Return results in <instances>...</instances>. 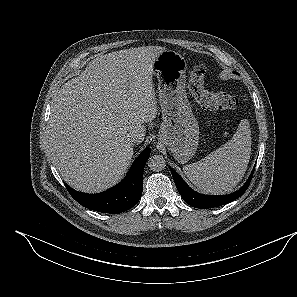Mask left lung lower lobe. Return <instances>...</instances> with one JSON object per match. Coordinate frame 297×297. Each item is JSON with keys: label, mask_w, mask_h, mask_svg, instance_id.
Listing matches in <instances>:
<instances>
[{"label": "left lung lower lobe", "mask_w": 297, "mask_h": 297, "mask_svg": "<svg viewBox=\"0 0 297 297\" xmlns=\"http://www.w3.org/2000/svg\"><path fill=\"white\" fill-rule=\"evenodd\" d=\"M254 169L252 170L246 183L238 191L228 195L220 196L199 194L192 190L173 169H171V172L176 187L184 201L192 207L206 209L230 203L244 194V192L249 187V184L253 177Z\"/></svg>", "instance_id": "obj_1"}]
</instances>
